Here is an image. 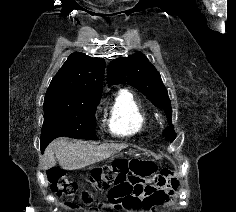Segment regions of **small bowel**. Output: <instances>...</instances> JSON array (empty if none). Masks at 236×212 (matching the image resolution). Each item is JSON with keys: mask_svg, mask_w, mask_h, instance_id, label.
I'll use <instances>...</instances> for the list:
<instances>
[{"mask_svg": "<svg viewBox=\"0 0 236 212\" xmlns=\"http://www.w3.org/2000/svg\"><path fill=\"white\" fill-rule=\"evenodd\" d=\"M155 173L153 169L149 175H119L107 191L104 212H150L166 203L176 189L172 173L167 169Z\"/></svg>", "mask_w": 236, "mask_h": 212, "instance_id": "obj_1", "label": "small bowel"}]
</instances>
